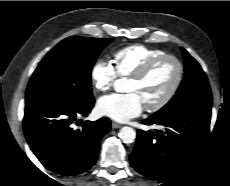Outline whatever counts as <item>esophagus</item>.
I'll return each mask as SVG.
<instances>
[{
    "mask_svg": "<svg viewBox=\"0 0 230 186\" xmlns=\"http://www.w3.org/2000/svg\"><path fill=\"white\" fill-rule=\"evenodd\" d=\"M111 126L113 129H117V128H120L122 125L117 122H112Z\"/></svg>",
    "mask_w": 230,
    "mask_h": 186,
    "instance_id": "obj_1",
    "label": "esophagus"
}]
</instances>
